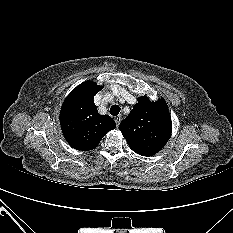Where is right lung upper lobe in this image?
<instances>
[{"label":"right lung upper lobe","instance_id":"obj_1","mask_svg":"<svg viewBox=\"0 0 233 233\" xmlns=\"http://www.w3.org/2000/svg\"><path fill=\"white\" fill-rule=\"evenodd\" d=\"M103 89L93 81L78 85L64 100L60 124L68 143L77 150L94 149L107 132L116 127L108 115H100L94 104V95Z\"/></svg>","mask_w":233,"mask_h":233}]
</instances>
